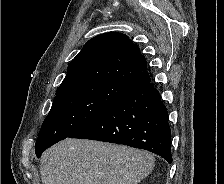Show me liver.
I'll return each instance as SVG.
<instances>
[{
	"mask_svg": "<svg viewBox=\"0 0 224 184\" xmlns=\"http://www.w3.org/2000/svg\"><path fill=\"white\" fill-rule=\"evenodd\" d=\"M154 164L144 150L67 138L42 154L40 173L42 184H138Z\"/></svg>",
	"mask_w": 224,
	"mask_h": 184,
	"instance_id": "obj_1",
	"label": "liver"
}]
</instances>
